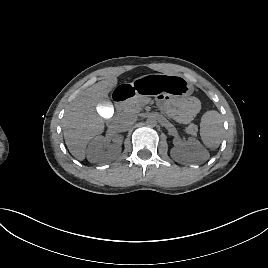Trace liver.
<instances>
[{
    "mask_svg": "<svg viewBox=\"0 0 268 268\" xmlns=\"http://www.w3.org/2000/svg\"><path fill=\"white\" fill-rule=\"evenodd\" d=\"M116 76L102 80L79 93L67 111L64 122V139L70 153L82 161L89 141L104 130V120L97 113L108 93L117 85Z\"/></svg>",
    "mask_w": 268,
    "mask_h": 268,
    "instance_id": "1",
    "label": "liver"
}]
</instances>
